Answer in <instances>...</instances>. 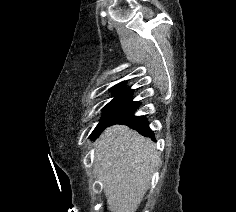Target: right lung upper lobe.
<instances>
[{"mask_svg": "<svg viewBox=\"0 0 236 212\" xmlns=\"http://www.w3.org/2000/svg\"><path fill=\"white\" fill-rule=\"evenodd\" d=\"M127 81H122L115 86L111 88L112 91H115V93H124V92H130V88H125Z\"/></svg>", "mask_w": 236, "mask_h": 212, "instance_id": "right-lung-upper-lobe-1", "label": "right lung upper lobe"}]
</instances>
